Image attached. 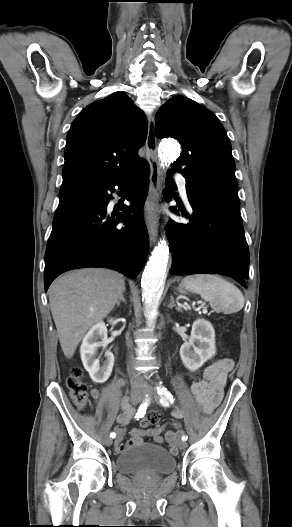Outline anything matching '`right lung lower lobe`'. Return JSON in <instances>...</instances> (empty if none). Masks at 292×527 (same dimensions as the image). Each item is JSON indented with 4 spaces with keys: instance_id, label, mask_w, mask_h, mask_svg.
Instances as JSON below:
<instances>
[{
    "instance_id": "1",
    "label": "right lung lower lobe",
    "mask_w": 292,
    "mask_h": 527,
    "mask_svg": "<svg viewBox=\"0 0 292 527\" xmlns=\"http://www.w3.org/2000/svg\"><path fill=\"white\" fill-rule=\"evenodd\" d=\"M149 174L145 162L135 172L107 183H62L45 253V291L57 276L72 269L110 268L131 278L139 274L149 248L142 210ZM116 185L129 192L130 206L110 213L109 191L115 192ZM128 212L134 215L124 220Z\"/></svg>"
}]
</instances>
